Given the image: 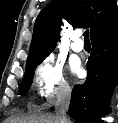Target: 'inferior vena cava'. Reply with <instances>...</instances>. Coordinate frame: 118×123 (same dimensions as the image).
I'll use <instances>...</instances> for the list:
<instances>
[{"label":"inferior vena cava","mask_w":118,"mask_h":123,"mask_svg":"<svg viewBox=\"0 0 118 123\" xmlns=\"http://www.w3.org/2000/svg\"><path fill=\"white\" fill-rule=\"evenodd\" d=\"M71 98V88L68 85L60 87L57 95V103L55 107V115L59 119L60 123H70L66 117Z\"/></svg>","instance_id":"obj_1"}]
</instances>
